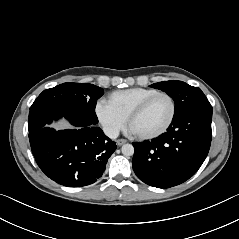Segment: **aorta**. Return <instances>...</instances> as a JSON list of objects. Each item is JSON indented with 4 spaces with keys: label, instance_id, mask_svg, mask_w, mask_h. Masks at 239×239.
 Instances as JSON below:
<instances>
[{
    "label": "aorta",
    "instance_id": "aorta-1",
    "mask_svg": "<svg viewBox=\"0 0 239 239\" xmlns=\"http://www.w3.org/2000/svg\"><path fill=\"white\" fill-rule=\"evenodd\" d=\"M121 151L124 156H132L134 154V147L131 144H124Z\"/></svg>",
    "mask_w": 239,
    "mask_h": 239
}]
</instances>
